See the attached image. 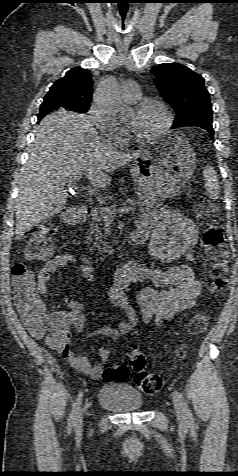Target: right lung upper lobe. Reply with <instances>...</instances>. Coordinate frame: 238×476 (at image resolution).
I'll use <instances>...</instances> for the list:
<instances>
[{
    "instance_id": "1",
    "label": "right lung upper lobe",
    "mask_w": 238,
    "mask_h": 476,
    "mask_svg": "<svg viewBox=\"0 0 238 476\" xmlns=\"http://www.w3.org/2000/svg\"><path fill=\"white\" fill-rule=\"evenodd\" d=\"M91 99V74L87 69L74 67L51 86L43 102L55 103L60 110H72L76 106H90Z\"/></svg>"
}]
</instances>
